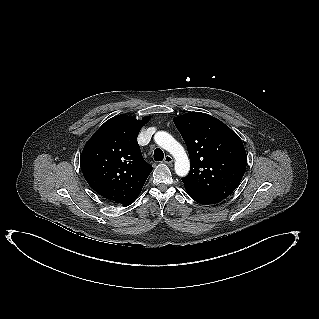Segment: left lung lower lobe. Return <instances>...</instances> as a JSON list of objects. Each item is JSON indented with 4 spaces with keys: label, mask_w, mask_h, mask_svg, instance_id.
<instances>
[{
    "label": "left lung lower lobe",
    "mask_w": 319,
    "mask_h": 319,
    "mask_svg": "<svg viewBox=\"0 0 319 319\" xmlns=\"http://www.w3.org/2000/svg\"><path fill=\"white\" fill-rule=\"evenodd\" d=\"M186 191H187L188 195L193 200H195L196 202L201 203V204H208L209 205V204H215V203L220 202L219 200L210 198V197H208L206 195H203V194L198 193L196 191L190 190L188 188H186Z\"/></svg>",
    "instance_id": "obj_1"
}]
</instances>
